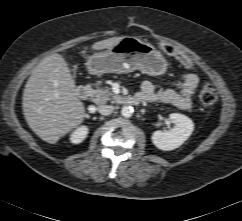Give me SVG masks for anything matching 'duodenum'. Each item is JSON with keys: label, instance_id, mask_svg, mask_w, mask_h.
<instances>
[{"label": "duodenum", "instance_id": "obj_1", "mask_svg": "<svg viewBox=\"0 0 242 221\" xmlns=\"http://www.w3.org/2000/svg\"><path fill=\"white\" fill-rule=\"evenodd\" d=\"M77 97L81 100H86L90 97L91 91L86 86H80L76 90ZM143 101L140 96L131 95V96H123L120 99V103L127 106L138 105Z\"/></svg>", "mask_w": 242, "mask_h": 221}]
</instances>
